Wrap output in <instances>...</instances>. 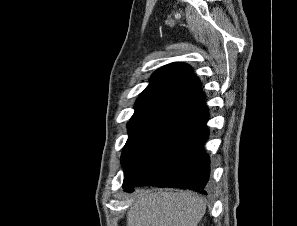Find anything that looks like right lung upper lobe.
<instances>
[{"mask_svg":"<svg viewBox=\"0 0 297 226\" xmlns=\"http://www.w3.org/2000/svg\"><path fill=\"white\" fill-rule=\"evenodd\" d=\"M200 81L188 64L171 63L153 73L151 82L135 103L130 121L171 119L182 110L203 101Z\"/></svg>","mask_w":297,"mask_h":226,"instance_id":"cb5924a9","label":"right lung upper lobe"}]
</instances>
